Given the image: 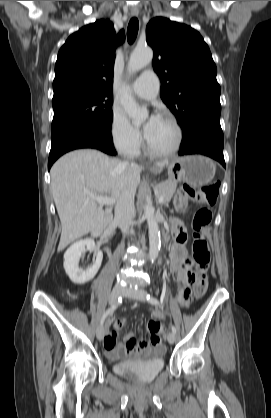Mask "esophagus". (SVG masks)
Here are the masks:
<instances>
[{"label": "esophagus", "mask_w": 271, "mask_h": 418, "mask_svg": "<svg viewBox=\"0 0 271 418\" xmlns=\"http://www.w3.org/2000/svg\"><path fill=\"white\" fill-rule=\"evenodd\" d=\"M130 12H131V15L132 16H138V14H139V10H138V8H131V10H130Z\"/></svg>", "instance_id": "1"}]
</instances>
